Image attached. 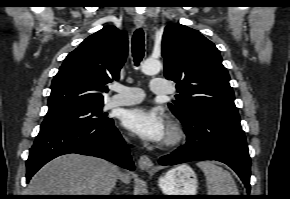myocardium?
<instances>
[{
    "instance_id": "myocardium-1",
    "label": "myocardium",
    "mask_w": 290,
    "mask_h": 199,
    "mask_svg": "<svg viewBox=\"0 0 290 199\" xmlns=\"http://www.w3.org/2000/svg\"><path fill=\"white\" fill-rule=\"evenodd\" d=\"M185 138V130L177 120L169 121L167 133L162 143L163 148H173L179 145Z\"/></svg>"
}]
</instances>
